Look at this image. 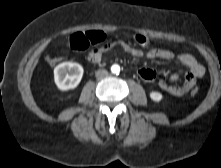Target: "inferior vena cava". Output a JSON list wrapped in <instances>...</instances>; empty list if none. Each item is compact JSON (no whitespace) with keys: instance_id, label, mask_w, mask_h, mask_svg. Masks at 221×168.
I'll use <instances>...</instances> for the list:
<instances>
[{"instance_id":"obj_1","label":"inferior vena cava","mask_w":221,"mask_h":168,"mask_svg":"<svg viewBox=\"0 0 221 168\" xmlns=\"http://www.w3.org/2000/svg\"><path fill=\"white\" fill-rule=\"evenodd\" d=\"M107 75H108V71L105 70V69L97 70L96 73H95V76L98 79H102V78L106 77Z\"/></svg>"}]
</instances>
